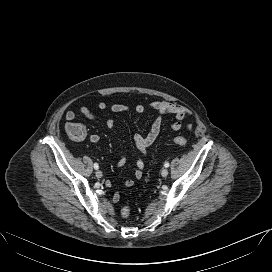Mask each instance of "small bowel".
<instances>
[{"instance_id":"1","label":"small bowel","mask_w":272,"mask_h":272,"mask_svg":"<svg viewBox=\"0 0 272 272\" xmlns=\"http://www.w3.org/2000/svg\"><path fill=\"white\" fill-rule=\"evenodd\" d=\"M149 107L155 112H157L158 115L155 117L148 134L145 136L136 134L133 137L134 145L142 155H146L148 152V148L157 140L162 129L164 115H172L176 118V121L171 123L170 128L173 131H179L183 127L181 120L191 114L190 110L187 107L174 103V102H168L163 100H154L150 103ZM97 108L101 111L110 109L113 113H125L132 110L138 114H141L145 111V107L141 104L131 107L129 105L122 104V103H114L111 106H108L104 102H99L97 104ZM79 113L89 120L97 121L95 114L86 106L79 107ZM75 118H76L75 112L73 111L66 112L65 119L68 122L73 121ZM103 125L110 130L114 129L115 124H114L113 118L112 117L107 118L105 122L103 123ZM190 127L191 126L189 125L188 128ZM89 140L91 143L96 144L99 142L100 137L97 134H91L89 137ZM126 161H127V158L125 155H123L119 159L117 163V167L118 168L124 167L126 164ZM143 169H144L143 160L137 159L136 170L134 172L135 178L139 179L142 177ZM124 185L126 187H132L134 185V180L126 179L124 181ZM112 199H113V202H118L120 199V194L118 192H115L113 194Z\"/></svg>"}]
</instances>
